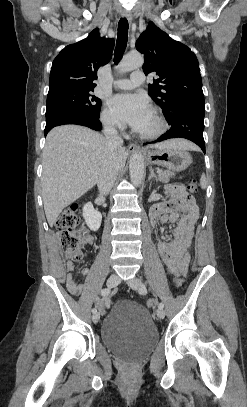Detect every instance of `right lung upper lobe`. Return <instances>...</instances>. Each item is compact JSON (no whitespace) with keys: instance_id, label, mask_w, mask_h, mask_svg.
I'll list each match as a JSON object with an SVG mask.
<instances>
[{"instance_id":"right-lung-upper-lobe-1","label":"right lung upper lobe","mask_w":247,"mask_h":407,"mask_svg":"<svg viewBox=\"0 0 247 407\" xmlns=\"http://www.w3.org/2000/svg\"><path fill=\"white\" fill-rule=\"evenodd\" d=\"M113 47L114 40L101 38L98 29L65 47L52 63L49 92L62 88L94 89L97 70L110 60Z\"/></svg>"}]
</instances>
